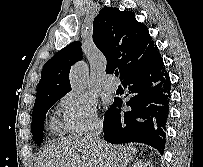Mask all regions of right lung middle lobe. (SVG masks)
Listing matches in <instances>:
<instances>
[{"label": "right lung middle lobe", "mask_w": 203, "mask_h": 167, "mask_svg": "<svg viewBox=\"0 0 203 167\" xmlns=\"http://www.w3.org/2000/svg\"><path fill=\"white\" fill-rule=\"evenodd\" d=\"M61 97L50 98L34 106L32 113L31 131L33 139L37 145H41V143H43V129L46 113L50 107Z\"/></svg>", "instance_id": "right-lung-middle-lobe-1"}]
</instances>
